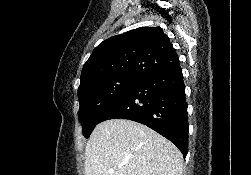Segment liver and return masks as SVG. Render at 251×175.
Segmentation results:
<instances>
[{"mask_svg": "<svg viewBox=\"0 0 251 175\" xmlns=\"http://www.w3.org/2000/svg\"><path fill=\"white\" fill-rule=\"evenodd\" d=\"M183 161L172 141L131 119L98 123L85 147L86 175H182Z\"/></svg>", "mask_w": 251, "mask_h": 175, "instance_id": "liver-1", "label": "liver"}]
</instances>
